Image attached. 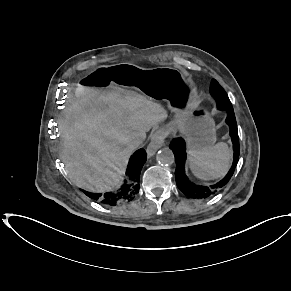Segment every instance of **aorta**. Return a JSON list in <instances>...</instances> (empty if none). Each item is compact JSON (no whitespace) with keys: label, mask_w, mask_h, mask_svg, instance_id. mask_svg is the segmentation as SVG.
I'll return each mask as SVG.
<instances>
[{"label":"aorta","mask_w":291,"mask_h":291,"mask_svg":"<svg viewBox=\"0 0 291 291\" xmlns=\"http://www.w3.org/2000/svg\"><path fill=\"white\" fill-rule=\"evenodd\" d=\"M156 160L161 165H171L174 163L175 158L171 149L163 148L158 151L156 155Z\"/></svg>","instance_id":"aorta-1"}]
</instances>
